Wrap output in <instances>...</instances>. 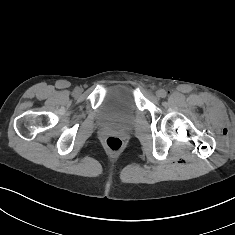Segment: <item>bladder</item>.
Segmentation results:
<instances>
[{
	"label": "bladder",
	"mask_w": 235,
	"mask_h": 235,
	"mask_svg": "<svg viewBox=\"0 0 235 235\" xmlns=\"http://www.w3.org/2000/svg\"><path fill=\"white\" fill-rule=\"evenodd\" d=\"M137 106L132 92L125 87L111 88L100 103L96 117L108 127H125L133 123Z\"/></svg>",
	"instance_id": "bladder-1"
}]
</instances>
